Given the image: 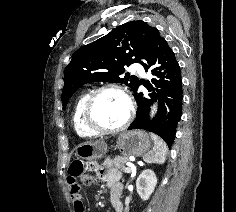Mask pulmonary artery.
Here are the masks:
<instances>
[{"label":"pulmonary artery","mask_w":236,"mask_h":212,"mask_svg":"<svg viewBox=\"0 0 236 212\" xmlns=\"http://www.w3.org/2000/svg\"><path fill=\"white\" fill-rule=\"evenodd\" d=\"M133 70H134L135 72H137V73H138L139 75H141V76H144V75H145V72H144L143 67L140 66L139 64H135V65L133 66Z\"/></svg>","instance_id":"pulmonary-artery-1"}]
</instances>
